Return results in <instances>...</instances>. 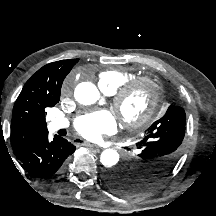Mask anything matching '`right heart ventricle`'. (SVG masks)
I'll return each mask as SVG.
<instances>
[{"mask_svg": "<svg viewBox=\"0 0 216 216\" xmlns=\"http://www.w3.org/2000/svg\"><path fill=\"white\" fill-rule=\"evenodd\" d=\"M132 78H134V73L127 69L110 68L99 73L98 84L104 92L112 94Z\"/></svg>", "mask_w": 216, "mask_h": 216, "instance_id": "obj_1", "label": "right heart ventricle"}]
</instances>
